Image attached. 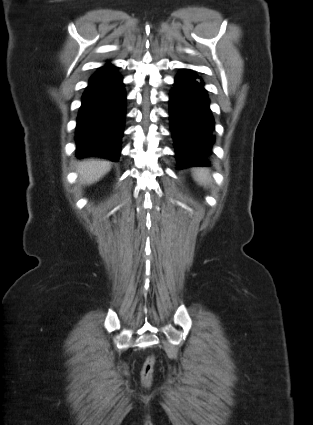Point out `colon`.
Masks as SVG:
<instances>
[{
    "label": "colon",
    "instance_id": "1",
    "mask_svg": "<svg viewBox=\"0 0 313 425\" xmlns=\"http://www.w3.org/2000/svg\"><path fill=\"white\" fill-rule=\"evenodd\" d=\"M155 367V358L153 356L148 357L143 364L141 370V380L144 386H149L152 382L153 372Z\"/></svg>",
    "mask_w": 313,
    "mask_h": 425
}]
</instances>
